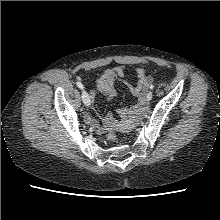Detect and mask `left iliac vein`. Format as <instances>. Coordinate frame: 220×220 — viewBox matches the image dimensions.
<instances>
[{"mask_svg": "<svg viewBox=\"0 0 220 220\" xmlns=\"http://www.w3.org/2000/svg\"><path fill=\"white\" fill-rule=\"evenodd\" d=\"M152 96H153L152 92L149 91L148 94H147V100H148V101L151 100V99H152Z\"/></svg>", "mask_w": 220, "mask_h": 220, "instance_id": "4c4485c4", "label": "left iliac vein"}]
</instances>
